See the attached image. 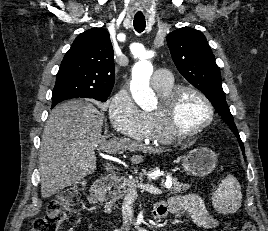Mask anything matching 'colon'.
Segmentation results:
<instances>
[{
  "label": "colon",
  "instance_id": "colon-1",
  "mask_svg": "<svg viewBox=\"0 0 268 231\" xmlns=\"http://www.w3.org/2000/svg\"><path fill=\"white\" fill-rule=\"evenodd\" d=\"M83 187V183L79 182L65 188L56 199L49 202L47 213L34 221L31 231H58L71 217ZM241 231H257L255 222H245Z\"/></svg>",
  "mask_w": 268,
  "mask_h": 231
}]
</instances>
